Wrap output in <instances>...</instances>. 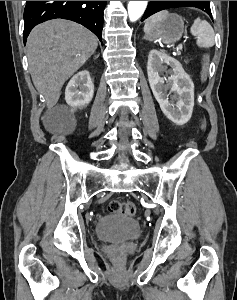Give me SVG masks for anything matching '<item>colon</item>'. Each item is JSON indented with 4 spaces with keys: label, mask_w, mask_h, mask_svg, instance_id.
Listing matches in <instances>:
<instances>
[{
    "label": "colon",
    "mask_w": 237,
    "mask_h": 300,
    "mask_svg": "<svg viewBox=\"0 0 237 300\" xmlns=\"http://www.w3.org/2000/svg\"><path fill=\"white\" fill-rule=\"evenodd\" d=\"M205 128V121H202V129ZM107 210L110 213L119 212L125 216L133 217L137 212V207L134 202H120L118 200H111L107 205Z\"/></svg>",
    "instance_id": "1"
}]
</instances>
